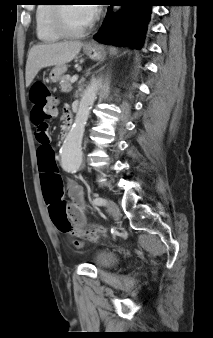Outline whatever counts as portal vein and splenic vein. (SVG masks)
Returning a JSON list of instances; mask_svg holds the SVG:
<instances>
[{"label":"portal vein and splenic vein","instance_id":"portal-vein-and-splenic-vein-1","mask_svg":"<svg viewBox=\"0 0 213 338\" xmlns=\"http://www.w3.org/2000/svg\"><path fill=\"white\" fill-rule=\"evenodd\" d=\"M77 79H78V76H77V75H74V76L71 78L70 82H71V83H75V82L77 81Z\"/></svg>","mask_w":213,"mask_h":338}]
</instances>
